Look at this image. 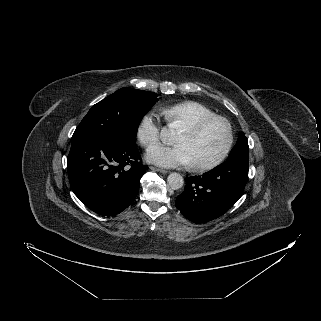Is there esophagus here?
Here are the masks:
<instances>
[{
    "mask_svg": "<svg viewBox=\"0 0 321 321\" xmlns=\"http://www.w3.org/2000/svg\"><path fill=\"white\" fill-rule=\"evenodd\" d=\"M150 169L153 170V171L160 172V173H168L167 170L160 169V168H157V167H154V166H151Z\"/></svg>",
    "mask_w": 321,
    "mask_h": 321,
    "instance_id": "1",
    "label": "esophagus"
}]
</instances>
